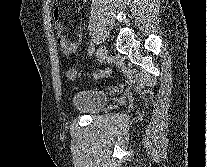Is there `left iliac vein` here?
Listing matches in <instances>:
<instances>
[{
  "label": "left iliac vein",
  "instance_id": "left-iliac-vein-1",
  "mask_svg": "<svg viewBox=\"0 0 207 167\" xmlns=\"http://www.w3.org/2000/svg\"><path fill=\"white\" fill-rule=\"evenodd\" d=\"M108 56V49L105 45H101L96 53V58L98 62L103 63L105 62L106 58Z\"/></svg>",
  "mask_w": 207,
  "mask_h": 167
}]
</instances>
